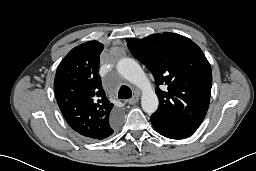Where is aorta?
<instances>
[{
	"mask_svg": "<svg viewBox=\"0 0 256 171\" xmlns=\"http://www.w3.org/2000/svg\"><path fill=\"white\" fill-rule=\"evenodd\" d=\"M117 70L121 76L142 90L141 106L144 112L154 113L159 105L158 97L141 66L132 58H123L117 63Z\"/></svg>",
	"mask_w": 256,
	"mask_h": 171,
	"instance_id": "obj_1",
	"label": "aorta"
}]
</instances>
